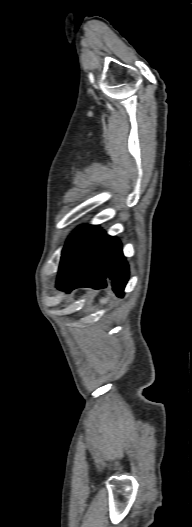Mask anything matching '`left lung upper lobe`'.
Wrapping results in <instances>:
<instances>
[{
	"label": "left lung upper lobe",
	"mask_w": 192,
	"mask_h": 527,
	"mask_svg": "<svg viewBox=\"0 0 192 527\" xmlns=\"http://www.w3.org/2000/svg\"><path fill=\"white\" fill-rule=\"evenodd\" d=\"M79 229H77L76 231H74L68 238L67 242H66V245L69 243V241L72 239V237L76 234V232L78 231ZM65 245V246H66Z\"/></svg>",
	"instance_id": "5c2ea615"
}]
</instances>
